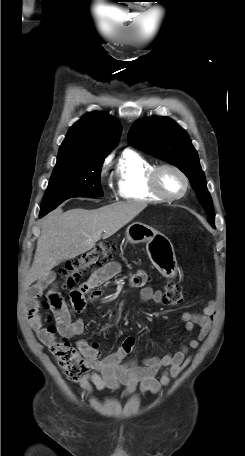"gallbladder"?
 I'll list each match as a JSON object with an SVG mask.
<instances>
[{
  "mask_svg": "<svg viewBox=\"0 0 245 456\" xmlns=\"http://www.w3.org/2000/svg\"><path fill=\"white\" fill-rule=\"evenodd\" d=\"M55 278H56L55 272H51V273L48 275L47 280H48L49 282H52V281L55 280ZM47 284H48V282H46V281H41V282H40V285H41L42 287H46Z\"/></svg>",
  "mask_w": 245,
  "mask_h": 456,
  "instance_id": "1",
  "label": "gallbladder"
}]
</instances>
